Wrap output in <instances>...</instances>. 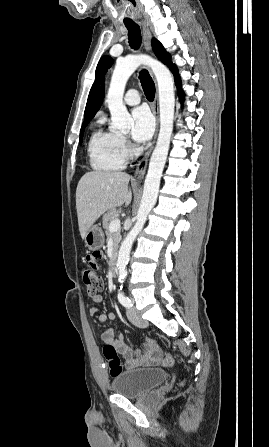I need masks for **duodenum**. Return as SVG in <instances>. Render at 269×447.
Returning <instances> with one entry per match:
<instances>
[{
  "label": "duodenum",
  "mask_w": 269,
  "mask_h": 447,
  "mask_svg": "<svg viewBox=\"0 0 269 447\" xmlns=\"http://www.w3.org/2000/svg\"><path fill=\"white\" fill-rule=\"evenodd\" d=\"M110 273L112 276L117 274V253L114 252L110 258Z\"/></svg>",
  "instance_id": "obj_1"
}]
</instances>
